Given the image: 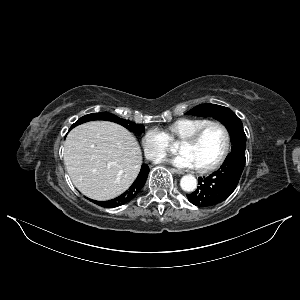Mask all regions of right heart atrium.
Here are the masks:
<instances>
[{"label": "right heart atrium", "instance_id": "obj_1", "mask_svg": "<svg viewBox=\"0 0 300 300\" xmlns=\"http://www.w3.org/2000/svg\"><path fill=\"white\" fill-rule=\"evenodd\" d=\"M142 147L147 159L151 161L164 157L170 148V139L166 132L159 128L149 129L142 137Z\"/></svg>", "mask_w": 300, "mask_h": 300}]
</instances>
